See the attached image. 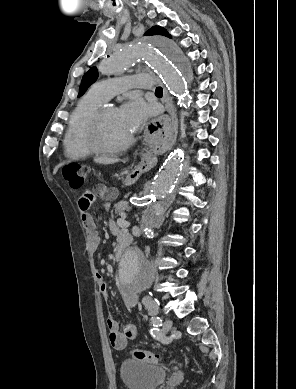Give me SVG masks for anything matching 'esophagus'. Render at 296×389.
<instances>
[{
    "label": "esophagus",
    "mask_w": 296,
    "mask_h": 389,
    "mask_svg": "<svg viewBox=\"0 0 296 389\" xmlns=\"http://www.w3.org/2000/svg\"><path fill=\"white\" fill-rule=\"evenodd\" d=\"M165 108L167 112H164V117L160 121L151 119V122L147 126H143L141 135L143 139H162L164 131H170L172 125L176 128V109L173 101L167 90L164 88ZM157 165L156 155L150 154L149 151L142 153L140 163L135 167L139 170L145 171L148 169H154Z\"/></svg>",
    "instance_id": "1"
}]
</instances>
